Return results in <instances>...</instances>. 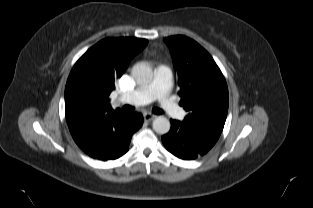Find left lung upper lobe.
<instances>
[{"mask_svg":"<svg viewBox=\"0 0 313 208\" xmlns=\"http://www.w3.org/2000/svg\"><path fill=\"white\" fill-rule=\"evenodd\" d=\"M164 41L177 69L180 104L188 112L184 122L195 128L221 133L229 99L219 67L204 48L186 36H171Z\"/></svg>","mask_w":313,"mask_h":208,"instance_id":"left-lung-upper-lobe-1","label":"left lung upper lobe"}]
</instances>
